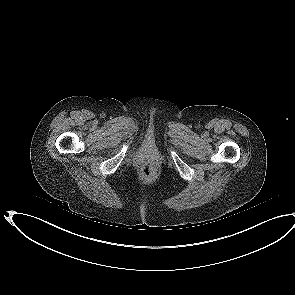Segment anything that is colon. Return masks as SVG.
<instances>
[{"label": "colon", "instance_id": "5ec220e1", "mask_svg": "<svg viewBox=\"0 0 295 295\" xmlns=\"http://www.w3.org/2000/svg\"><path fill=\"white\" fill-rule=\"evenodd\" d=\"M143 175L145 176V177H152L153 176V174H154V170H153V168L151 167V166H149V165H146L144 168H143Z\"/></svg>", "mask_w": 295, "mask_h": 295}]
</instances>
